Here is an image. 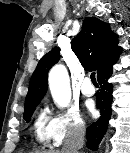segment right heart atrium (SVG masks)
<instances>
[{"label":"right heart atrium","instance_id":"right-heart-atrium-1","mask_svg":"<svg viewBox=\"0 0 130 153\" xmlns=\"http://www.w3.org/2000/svg\"><path fill=\"white\" fill-rule=\"evenodd\" d=\"M57 86V83L54 82ZM85 129L84 120L75 107L59 111L52 119L53 143L62 145L66 140L80 136Z\"/></svg>","mask_w":130,"mask_h":153}]
</instances>
